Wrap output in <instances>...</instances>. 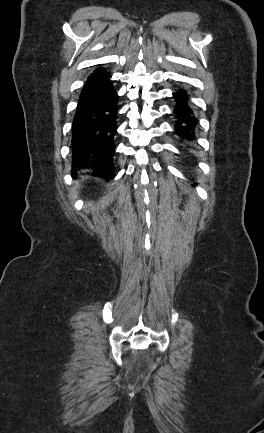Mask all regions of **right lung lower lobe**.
<instances>
[{"mask_svg": "<svg viewBox=\"0 0 264 433\" xmlns=\"http://www.w3.org/2000/svg\"><path fill=\"white\" fill-rule=\"evenodd\" d=\"M104 69H96L81 91L73 119L74 164L93 167V175L114 178L113 137L116 132L117 92Z\"/></svg>", "mask_w": 264, "mask_h": 433, "instance_id": "obj_1", "label": "right lung lower lobe"}]
</instances>
